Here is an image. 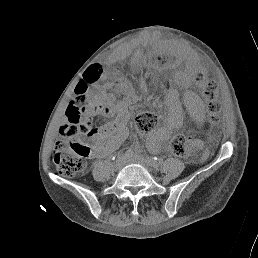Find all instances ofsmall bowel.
Masks as SVG:
<instances>
[{"label": "small bowel", "mask_w": 258, "mask_h": 258, "mask_svg": "<svg viewBox=\"0 0 258 258\" xmlns=\"http://www.w3.org/2000/svg\"><path fill=\"white\" fill-rule=\"evenodd\" d=\"M126 49L133 52L130 55L132 58H134L136 53L139 51L137 44L129 45ZM88 92L96 102L87 107L83 113L86 123H90L92 119L98 115L110 117L114 114L113 106L109 103L107 97L104 96V88L98 86ZM126 136L127 131L124 127L113 123L106 125L100 130V137L104 142L93 149L90 156L101 158L109 155L120 146ZM157 141L158 138L154 136L150 140V147L154 148Z\"/></svg>", "instance_id": "1"}]
</instances>
